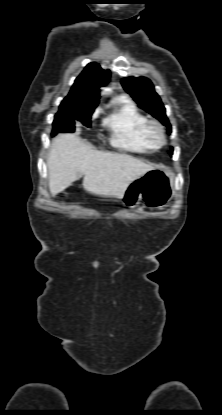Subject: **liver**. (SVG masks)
Masks as SVG:
<instances>
[{
    "mask_svg": "<svg viewBox=\"0 0 222 415\" xmlns=\"http://www.w3.org/2000/svg\"><path fill=\"white\" fill-rule=\"evenodd\" d=\"M47 167L52 196L84 176L87 192L120 199L133 180L158 166L126 154L97 151L77 134H59L52 140Z\"/></svg>",
    "mask_w": 222,
    "mask_h": 415,
    "instance_id": "liver-1",
    "label": "liver"
}]
</instances>
